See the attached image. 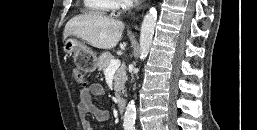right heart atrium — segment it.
Wrapping results in <instances>:
<instances>
[{
  "instance_id": "1",
  "label": "right heart atrium",
  "mask_w": 257,
  "mask_h": 130,
  "mask_svg": "<svg viewBox=\"0 0 257 130\" xmlns=\"http://www.w3.org/2000/svg\"><path fill=\"white\" fill-rule=\"evenodd\" d=\"M132 0H118V4L120 7H128L131 4Z\"/></svg>"
}]
</instances>
